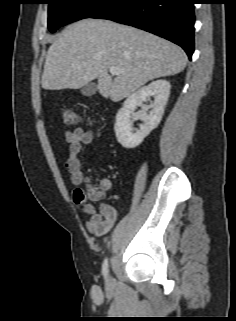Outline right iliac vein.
Here are the masks:
<instances>
[{
  "mask_svg": "<svg viewBox=\"0 0 236 321\" xmlns=\"http://www.w3.org/2000/svg\"><path fill=\"white\" fill-rule=\"evenodd\" d=\"M107 287H110L112 285V279L110 276H108L107 281H106Z\"/></svg>",
  "mask_w": 236,
  "mask_h": 321,
  "instance_id": "obj_1",
  "label": "right iliac vein"
}]
</instances>
